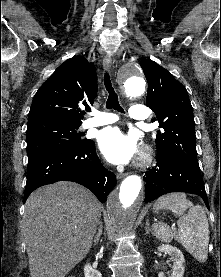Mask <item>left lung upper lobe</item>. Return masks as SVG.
<instances>
[{
  "label": "left lung upper lobe",
  "mask_w": 221,
  "mask_h": 277,
  "mask_svg": "<svg viewBox=\"0 0 221 277\" xmlns=\"http://www.w3.org/2000/svg\"><path fill=\"white\" fill-rule=\"evenodd\" d=\"M141 67L148 82L146 105L162 128L156 134L157 156L181 158L199 167L193 108L186 88L150 59L142 60Z\"/></svg>",
  "instance_id": "left-lung-upper-lobe-1"
}]
</instances>
